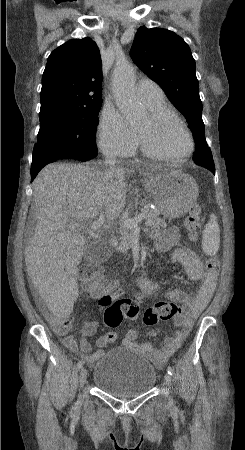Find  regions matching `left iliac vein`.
I'll list each match as a JSON object with an SVG mask.
<instances>
[{"mask_svg":"<svg viewBox=\"0 0 245 450\" xmlns=\"http://www.w3.org/2000/svg\"><path fill=\"white\" fill-rule=\"evenodd\" d=\"M164 382H165V386L167 391L170 393V386H171V375H169L168 373L165 374L164 377Z\"/></svg>","mask_w":245,"mask_h":450,"instance_id":"obj_1","label":"left iliac vein"}]
</instances>
